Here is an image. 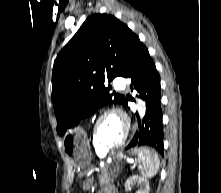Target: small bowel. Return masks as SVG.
<instances>
[{"label":"small bowel","mask_w":221,"mask_h":193,"mask_svg":"<svg viewBox=\"0 0 221 193\" xmlns=\"http://www.w3.org/2000/svg\"><path fill=\"white\" fill-rule=\"evenodd\" d=\"M98 193H118L117 190L113 187H105L104 189H102L101 191H99Z\"/></svg>","instance_id":"small-bowel-1"}]
</instances>
